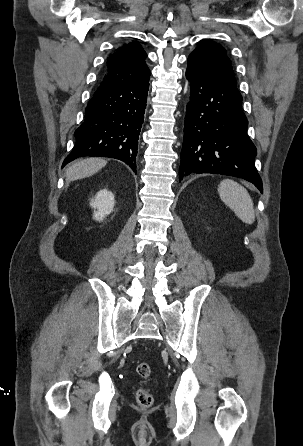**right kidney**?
I'll return each instance as SVG.
<instances>
[{
    "label": "right kidney",
    "mask_w": 303,
    "mask_h": 446,
    "mask_svg": "<svg viewBox=\"0 0 303 446\" xmlns=\"http://www.w3.org/2000/svg\"><path fill=\"white\" fill-rule=\"evenodd\" d=\"M114 204L112 192L107 189L100 190L90 202V206L95 210L93 218L99 222L103 221L107 215L113 212Z\"/></svg>",
    "instance_id": "obj_1"
}]
</instances>
